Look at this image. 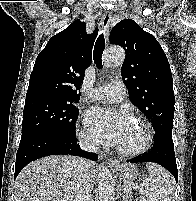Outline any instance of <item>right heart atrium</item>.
I'll return each instance as SVG.
<instances>
[{
    "label": "right heart atrium",
    "instance_id": "obj_1",
    "mask_svg": "<svg viewBox=\"0 0 196 201\" xmlns=\"http://www.w3.org/2000/svg\"><path fill=\"white\" fill-rule=\"evenodd\" d=\"M79 139L80 142L88 147H95L97 146L96 140L84 129L79 132Z\"/></svg>",
    "mask_w": 196,
    "mask_h": 201
}]
</instances>
